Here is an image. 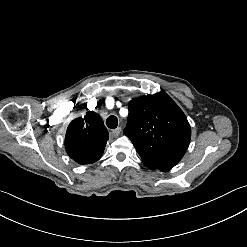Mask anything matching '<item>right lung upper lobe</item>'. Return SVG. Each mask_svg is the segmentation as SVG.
Segmentation results:
<instances>
[{
  "mask_svg": "<svg viewBox=\"0 0 247 247\" xmlns=\"http://www.w3.org/2000/svg\"><path fill=\"white\" fill-rule=\"evenodd\" d=\"M108 140V131L103 120L93 111L84 118L74 119L68 126L65 148L68 155L79 164L98 161Z\"/></svg>",
  "mask_w": 247,
  "mask_h": 247,
  "instance_id": "cb5924a9",
  "label": "right lung upper lobe"
}]
</instances>
